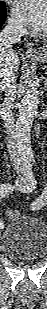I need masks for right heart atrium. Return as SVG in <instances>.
<instances>
[{
	"label": "right heart atrium",
	"instance_id": "right-heart-atrium-1",
	"mask_svg": "<svg viewBox=\"0 0 47 309\" xmlns=\"http://www.w3.org/2000/svg\"><path fill=\"white\" fill-rule=\"evenodd\" d=\"M8 27L13 33L17 35H23L26 32L25 27L14 17L9 19Z\"/></svg>",
	"mask_w": 47,
	"mask_h": 309
}]
</instances>
